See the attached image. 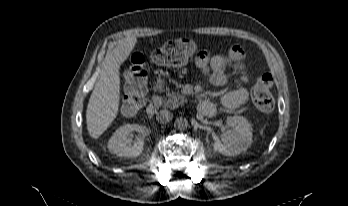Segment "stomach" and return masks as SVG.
Masks as SVG:
<instances>
[{"label":"stomach","instance_id":"1","mask_svg":"<svg viewBox=\"0 0 348 206\" xmlns=\"http://www.w3.org/2000/svg\"><path fill=\"white\" fill-rule=\"evenodd\" d=\"M180 43L182 44L186 54L191 55L195 52L196 44L192 39L184 38L180 40Z\"/></svg>","mask_w":348,"mask_h":206}]
</instances>
